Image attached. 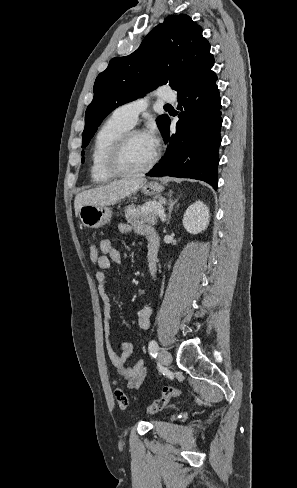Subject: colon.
I'll return each instance as SVG.
<instances>
[{
  "label": "colon",
  "mask_w": 297,
  "mask_h": 488,
  "mask_svg": "<svg viewBox=\"0 0 297 488\" xmlns=\"http://www.w3.org/2000/svg\"><path fill=\"white\" fill-rule=\"evenodd\" d=\"M90 259L93 263H97L100 258V250L96 245H90L89 248ZM181 391L175 387H164L162 395L159 399L154 401L147 409L149 414L157 413L165 408L169 400L173 397L180 395ZM115 399L121 410H125L129 406V399L127 394L121 390L117 389L115 391Z\"/></svg>",
  "instance_id": "obj_1"
}]
</instances>
